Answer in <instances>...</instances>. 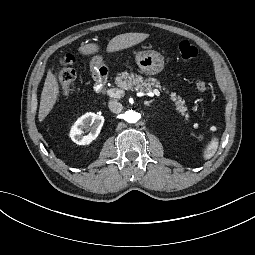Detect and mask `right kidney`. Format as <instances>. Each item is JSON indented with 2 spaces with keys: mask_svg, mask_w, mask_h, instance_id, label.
I'll return each mask as SVG.
<instances>
[{
  "mask_svg": "<svg viewBox=\"0 0 255 255\" xmlns=\"http://www.w3.org/2000/svg\"><path fill=\"white\" fill-rule=\"evenodd\" d=\"M104 124V117L95 113L89 112L82 115L70 130V137L72 141L79 145L90 144L97 138ZM89 132L87 135L83 133Z\"/></svg>",
  "mask_w": 255,
  "mask_h": 255,
  "instance_id": "obj_1",
  "label": "right kidney"
}]
</instances>
